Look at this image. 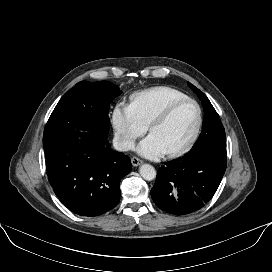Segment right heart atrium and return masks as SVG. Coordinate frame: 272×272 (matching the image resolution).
<instances>
[{
    "label": "right heart atrium",
    "mask_w": 272,
    "mask_h": 272,
    "mask_svg": "<svg viewBox=\"0 0 272 272\" xmlns=\"http://www.w3.org/2000/svg\"><path fill=\"white\" fill-rule=\"evenodd\" d=\"M112 125L118 145L124 149H130L135 141L144 135V126L130 106L119 104L112 114Z\"/></svg>",
    "instance_id": "obj_1"
}]
</instances>
